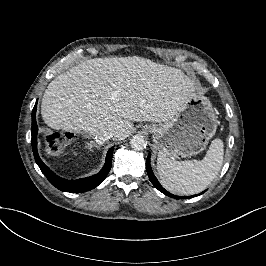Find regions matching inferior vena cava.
Listing matches in <instances>:
<instances>
[{"label":"inferior vena cava","mask_w":266,"mask_h":266,"mask_svg":"<svg viewBox=\"0 0 266 266\" xmlns=\"http://www.w3.org/2000/svg\"><path fill=\"white\" fill-rule=\"evenodd\" d=\"M93 137L98 144H103L105 141L113 137V133L106 130H100L94 132Z\"/></svg>","instance_id":"inferior-vena-cava-1"}]
</instances>
